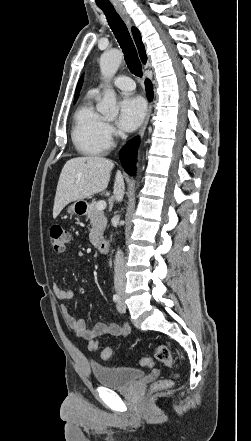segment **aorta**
Returning <instances> with one entry per match:
<instances>
[{"mask_svg":"<svg viewBox=\"0 0 251 441\" xmlns=\"http://www.w3.org/2000/svg\"><path fill=\"white\" fill-rule=\"evenodd\" d=\"M122 57L123 55L119 50H111L101 55L100 70L104 79H110L115 75L121 64ZM97 110L107 117H116L118 115L119 108L116 102V93L110 87L105 90L103 99L97 105Z\"/></svg>","mask_w":251,"mask_h":441,"instance_id":"1","label":"aorta"}]
</instances>
